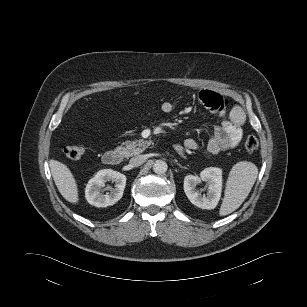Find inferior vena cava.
<instances>
[{
	"instance_id": "1",
	"label": "inferior vena cava",
	"mask_w": 307,
	"mask_h": 307,
	"mask_svg": "<svg viewBox=\"0 0 307 307\" xmlns=\"http://www.w3.org/2000/svg\"><path fill=\"white\" fill-rule=\"evenodd\" d=\"M146 160L145 155H138L130 159L129 164L132 167H138L142 165Z\"/></svg>"
}]
</instances>
